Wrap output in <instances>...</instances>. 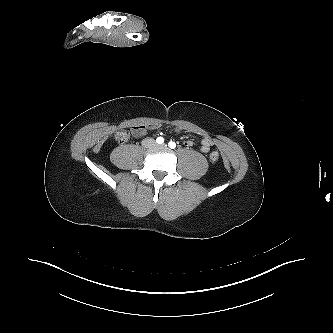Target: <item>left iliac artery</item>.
<instances>
[{"label":"left iliac artery","instance_id":"1","mask_svg":"<svg viewBox=\"0 0 333 333\" xmlns=\"http://www.w3.org/2000/svg\"><path fill=\"white\" fill-rule=\"evenodd\" d=\"M168 145H169V147H170L171 149H174V148L176 147V143L173 142V141H170V142L168 143Z\"/></svg>","mask_w":333,"mask_h":333}]
</instances>
